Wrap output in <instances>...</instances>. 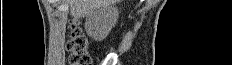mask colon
<instances>
[{"label": "colon", "instance_id": "1", "mask_svg": "<svg viewBox=\"0 0 232 65\" xmlns=\"http://www.w3.org/2000/svg\"><path fill=\"white\" fill-rule=\"evenodd\" d=\"M87 38L82 29L74 23L71 26L69 38L66 43L69 52L70 65H90L91 58L87 51Z\"/></svg>", "mask_w": 232, "mask_h": 65}]
</instances>
